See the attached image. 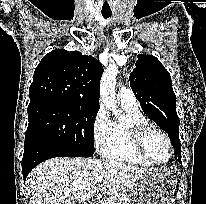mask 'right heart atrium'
Listing matches in <instances>:
<instances>
[{
	"instance_id": "d8ad5b80",
	"label": "right heart atrium",
	"mask_w": 206,
	"mask_h": 204,
	"mask_svg": "<svg viewBox=\"0 0 206 204\" xmlns=\"http://www.w3.org/2000/svg\"><path fill=\"white\" fill-rule=\"evenodd\" d=\"M110 119L103 106L97 110L92 121V135L95 147L101 149L104 145L109 129Z\"/></svg>"
}]
</instances>
